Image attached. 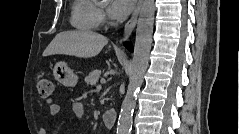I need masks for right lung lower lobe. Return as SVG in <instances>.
<instances>
[{"instance_id":"98d812e1","label":"right lung lower lobe","mask_w":239,"mask_h":134,"mask_svg":"<svg viewBox=\"0 0 239 134\" xmlns=\"http://www.w3.org/2000/svg\"><path fill=\"white\" fill-rule=\"evenodd\" d=\"M125 46L128 48V50L132 51V46L129 43H125Z\"/></svg>"}]
</instances>
